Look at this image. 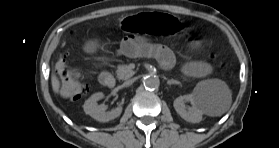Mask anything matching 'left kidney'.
Segmentation results:
<instances>
[{"mask_svg": "<svg viewBox=\"0 0 279 148\" xmlns=\"http://www.w3.org/2000/svg\"><path fill=\"white\" fill-rule=\"evenodd\" d=\"M187 102H190L191 107L186 106ZM173 106L184 120L191 123H199L206 111L203 100L195 92L176 98Z\"/></svg>", "mask_w": 279, "mask_h": 148, "instance_id": "left-kidney-1", "label": "left kidney"}]
</instances>
